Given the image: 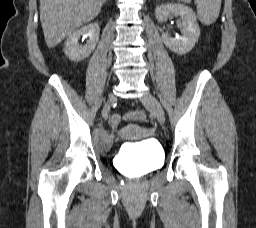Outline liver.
Instances as JSON below:
<instances>
[{
	"label": "liver",
	"mask_w": 256,
	"mask_h": 228,
	"mask_svg": "<svg viewBox=\"0 0 256 228\" xmlns=\"http://www.w3.org/2000/svg\"><path fill=\"white\" fill-rule=\"evenodd\" d=\"M104 0H40V21L49 48L93 20Z\"/></svg>",
	"instance_id": "1"
}]
</instances>
